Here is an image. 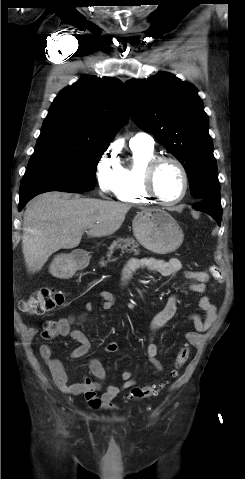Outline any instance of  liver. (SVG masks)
I'll use <instances>...</instances> for the list:
<instances>
[{
    "label": "liver",
    "instance_id": "liver-1",
    "mask_svg": "<svg viewBox=\"0 0 245 479\" xmlns=\"http://www.w3.org/2000/svg\"><path fill=\"white\" fill-rule=\"evenodd\" d=\"M130 208L125 203L55 192L35 197L28 204L23 221L22 251L28 271L41 270L60 249L77 247L86 229H90V237L112 235L121 227Z\"/></svg>",
    "mask_w": 245,
    "mask_h": 479
}]
</instances>
